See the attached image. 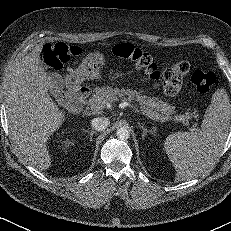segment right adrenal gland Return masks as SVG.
<instances>
[{"instance_id": "right-adrenal-gland-1", "label": "right adrenal gland", "mask_w": 231, "mask_h": 231, "mask_svg": "<svg viewBox=\"0 0 231 231\" xmlns=\"http://www.w3.org/2000/svg\"><path fill=\"white\" fill-rule=\"evenodd\" d=\"M89 135H90V140H92V137L94 134H96L95 131L91 130V131H86Z\"/></svg>"}]
</instances>
